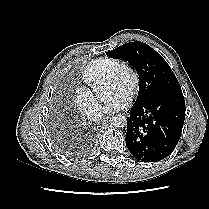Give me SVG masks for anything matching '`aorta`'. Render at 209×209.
<instances>
[{
  "mask_svg": "<svg viewBox=\"0 0 209 209\" xmlns=\"http://www.w3.org/2000/svg\"><path fill=\"white\" fill-rule=\"evenodd\" d=\"M96 93L99 94L101 91L98 89H95ZM111 125L119 128H123L127 124V118L123 114H118L112 117L110 120Z\"/></svg>",
  "mask_w": 209,
  "mask_h": 209,
  "instance_id": "aorta-1",
  "label": "aorta"
}]
</instances>
